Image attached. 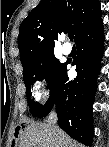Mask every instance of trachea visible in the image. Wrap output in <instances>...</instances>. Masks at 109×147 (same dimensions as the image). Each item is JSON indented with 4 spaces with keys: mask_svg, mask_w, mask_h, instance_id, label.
<instances>
[{
    "mask_svg": "<svg viewBox=\"0 0 109 147\" xmlns=\"http://www.w3.org/2000/svg\"><path fill=\"white\" fill-rule=\"evenodd\" d=\"M73 38H74V35H73V34H69V39H70L71 41H73Z\"/></svg>",
    "mask_w": 109,
    "mask_h": 147,
    "instance_id": "obj_1",
    "label": "trachea"
}]
</instances>
